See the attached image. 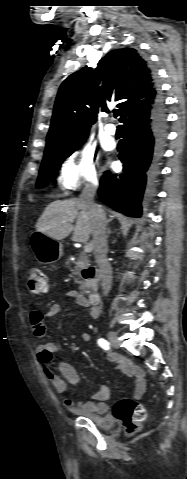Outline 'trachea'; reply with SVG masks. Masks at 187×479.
I'll use <instances>...</instances> for the list:
<instances>
[{
	"instance_id": "1",
	"label": "trachea",
	"mask_w": 187,
	"mask_h": 479,
	"mask_svg": "<svg viewBox=\"0 0 187 479\" xmlns=\"http://www.w3.org/2000/svg\"><path fill=\"white\" fill-rule=\"evenodd\" d=\"M118 115H119V112H118V111H115V112H114V117L116 118Z\"/></svg>"
}]
</instances>
